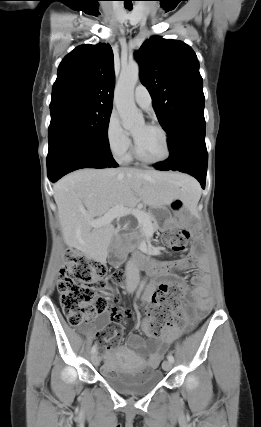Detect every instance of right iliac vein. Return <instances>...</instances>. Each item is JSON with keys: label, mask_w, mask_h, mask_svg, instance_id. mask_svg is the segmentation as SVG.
Wrapping results in <instances>:
<instances>
[{"label": "right iliac vein", "mask_w": 261, "mask_h": 427, "mask_svg": "<svg viewBox=\"0 0 261 427\" xmlns=\"http://www.w3.org/2000/svg\"><path fill=\"white\" fill-rule=\"evenodd\" d=\"M91 360H92V363H93L95 366L99 365V358H98V356H97V353H93V354H92V356H91Z\"/></svg>", "instance_id": "right-iliac-vein-1"}]
</instances>
